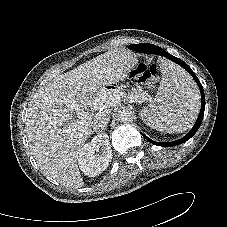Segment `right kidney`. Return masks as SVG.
Segmentation results:
<instances>
[{
	"instance_id": "ca27d5eb",
	"label": "right kidney",
	"mask_w": 227,
	"mask_h": 227,
	"mask_svg": "<svg viewBox=\"0 0 227 227\" xmlns=\"http://www.w3.org/2000/svg\"><path fill=\"white\" fill-rule=\"evenodd\" d=\"M101 148V154L96 155ZM112 159V150L107 134H98L90 143L85 144L80 152L79 168L85 175L95 177L102 173Z\"/></svg>"
}]
</instances>
